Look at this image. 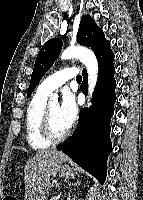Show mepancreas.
Wrapping results in <instances>:
<instances>
[{
	"label": "pancreas",
	"instance_id": "pancreas-1",
	"mask_svg": "<svg viewBox=\"0 0 143 200\" xmlns=\"http://www.w3.org/2000/svg\"><path fill=\"white\" fill-rule=\"evenodd\" d=\"M50 200H56L55 198H51Z\"/></svg>",
	"mask_w": 143,
	"mask_h": 200
}]
</instances>
